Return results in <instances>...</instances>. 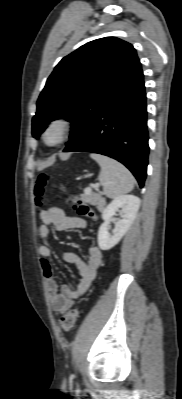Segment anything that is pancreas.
<instances>
[{"mask_svg": "<svg viewBox=\"0 0 182 399\" xmlns=\"http://www.w3.org/2000/svg\"><path fill=\"white\" fill-rule=\"evenodd\" d=\"M90 199H91V201L95 204V205H102V204H104L105 203V201H104V199H102L101 198V195L100 194H90V195H87Z\"/></svg>", "mask_w": 182, "mask_h": 399, "instance_id": "obj_1", "label": "pancreas"}]
</instances>
